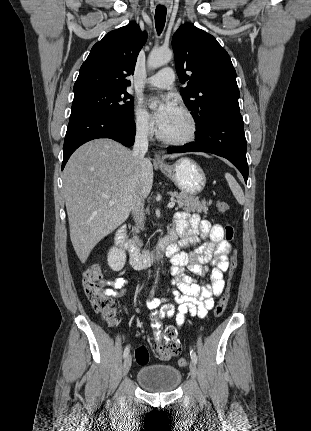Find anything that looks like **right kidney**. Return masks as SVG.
Here are the masks:
<instances>
[{
    "instance_id": "obj_1",
    "label": "right kidney",
    "mask_w": 311,
    "mask_h": 431,
    "mask_svg": "<svg viewBox=\"0 0 311 431\" xmlns=\"http://www.w3.org/2000/svg\"><path fill=\"white\" fill-rule=\"evenodd\" d=\"M107 261L111 269L120 271L126 263V253L124 249H120V247H111L110 251H108Z\"/></svg>"
}]
</instances>
